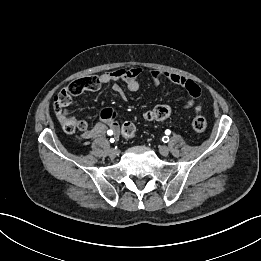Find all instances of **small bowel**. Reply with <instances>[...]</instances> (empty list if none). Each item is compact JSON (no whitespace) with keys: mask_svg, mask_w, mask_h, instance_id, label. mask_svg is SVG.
Instances as JSON below:
<instances>
[{"mask_svg":"<svg viewBox=\"0 0 261 261\" xmlns=\"http://www.w3.org/2000/svg\"><path fill=\"white\" fill-rule=\"evenodd\" d=\"M141 73L142 69L139 67L108 71L99 76L91 77L93 86L86 90H98L103 85L112 84L113 90L123 97L124 92L118 82H123L130 91H137L140 86L138 77ZM151 76L156 84L160 83L162 79H168L172 83L183 87L190 96L188 101L185 103V108L193 109L195 112L200 111L201 105L198 102L200 97V88L193 80L162 70H153L151 72ZM101 118L102 122L94 125L90 129L85 130L81 134V139L91 140L104 135L108 132V130H111L112 132L118 130L119 124L117 121L116 111L111 108H106L101 112Z\"/></svg>","mask_w":261,"mask_h":261,"instance_id":"obj_1","label":"small bowel"}]
</instances>
